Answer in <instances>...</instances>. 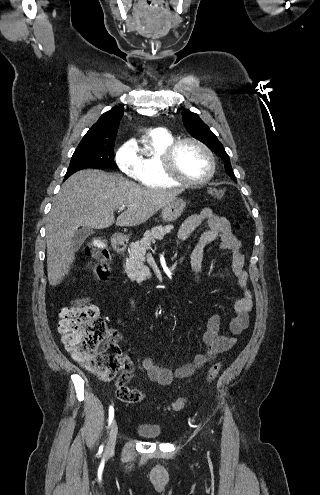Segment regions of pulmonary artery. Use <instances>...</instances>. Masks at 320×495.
<instances>
[{"instance_id":"e3ab8cb5","label":"pulmonary artery","mask_w":320,"mask_h":495,"mask_svg":"<svg viewBox=\"0 0 320 495\" xmlns=\"http://www.w3.org/2000/svg\"><path fill=\"white\" fill-rule=\"evenodd\" d=\"M149 133L154 135H165L167 134V131L164 128L159 127V128L151 129Z\"/></svg>"}]
</instances>
